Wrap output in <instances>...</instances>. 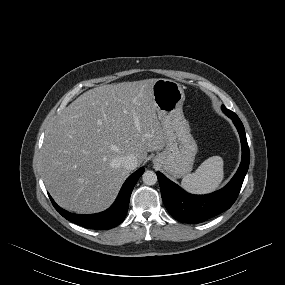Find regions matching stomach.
<instances>
[{
  "instance_id": "stomach-1",
  "label": "stomach",
  "mask_w": 285,
  "mask_h": 285,
  "mask_svg": "<svg viewBox=\"0 0 285 285\" xmlns=\"http://www.w3.org/2000/svg\"><path fill=\"white\" fill-rule=\"evenodd\" d=\"M152 96L165 133L164 149L153 162L175 178H180L191 172L198 152L182 110L184 90L176 81L161 78L154 83Z\"/></svg>"
}]
</instances>
